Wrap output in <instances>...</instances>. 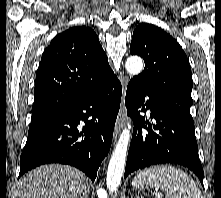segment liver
I'll return each instance as SVG.
<instances>
[{"instance_id":"6515ba94","label":"liver","mask_w":221,"mask_h":198,"mask_svg":"<svg viewBox=\"0 0 221 198\" xmlns=\"http://www.w3.org/2000/svg\"><path fill=\"white\" fill-rule=\"evenodd\" d=\"M88 177L78 169L60 164L42 165L24 176L13 198H89Z\"/></svg>"}]
</instances>
